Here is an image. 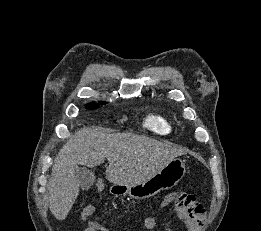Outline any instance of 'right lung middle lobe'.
Masks as SVG:
<instances>
[{
    "label": "right lung middle lobe",
    "instance_id": "dd1d6c3e",
    "mask_svg": "<svg viewBox=\"0 0 261 231\" xmlns=\"http://www.w3.org/2000/svg\"><path fill=\"white\" fill-rule=\"evenodd\" d=\"M99 103L100 104H106V102H99ZM88 106L91 107V108H95L97 106V104L96 103H91Z\"/></svg>",
    "mask_w": 261,
    "mask_h": 231
}]
</instances>
